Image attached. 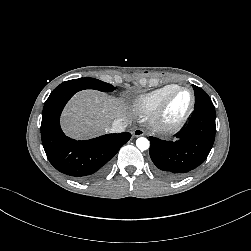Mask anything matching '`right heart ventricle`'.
I'll return each instance as SVG.
<instances>
[{
    "label": "right heart ventricle",
    "instance_id": "e07e8e85",
    "mask_svg": "<svg viewBox=\"0 0 251 251\" xmlns=\"http://www.w3.org/2000/svg\"><path fill=\"white\" fill-rule=\"evenodd\" d=\"M176 87L166 85L137 97L131 104L133 111L139 116L151 115L159 106L164 97Z\"/></svg>",
    "mask_w": 251,
    "mask_h": 251
}]
</instances>
